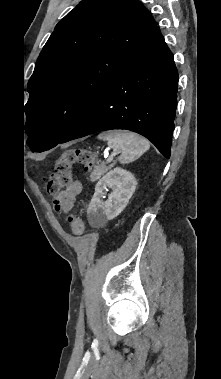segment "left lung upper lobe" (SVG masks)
<instances>
[{
	"mask_svg": "<svg viewBox=\"0 0 221 379\" xmlns=\"http://www.w3.org/2000/svg\"><path fill=\"white\" fill-rule=\"evenodd\" d=\"M155 29L138 0H83L70 11L56 25L28 82L30 149L56 146Z\"/></svg>",
	"mask_w": 221,
	"mask_h": 379,
	"instance_id": "5c2ea615",
	"label": "left lung upper lobe"
}]
</instances>
